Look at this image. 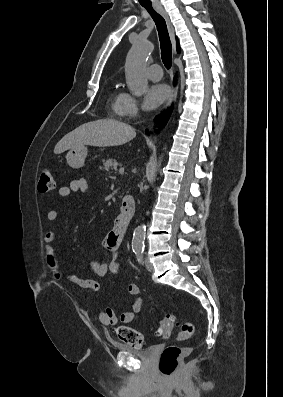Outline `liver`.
Wrapping results in <instances>:
<instances>
[{"mask_svg": "<svg viewBox=\"0 0 283 397\" xmlns=\"http://www.w3.org/2000/svg\"><path fill=\"white\" fill-rule=\"evenodd\" d=\"M136 136L130 125L114 119H99L82 124L66 134L55 146L54 153L90 145L96 147L119 146Z\"/></svg>", "mask_w": 283, "mask_h": 397, "instance_id": "6515ba94", "label": "liver"}]
</instances>
